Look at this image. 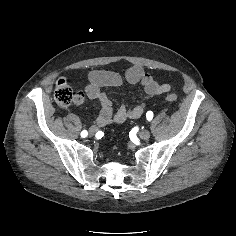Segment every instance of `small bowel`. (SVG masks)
Returning <instances> with one entry per match:
<instances>
[{
	"instance_id": "1",
	"label": "small bowel",
	"mask_w": 236,
	"mask_h": 236,
	"mask_svg": "<svg viewBox=\"0 0 236 236\" xmlns=\"http://www.w3.org/2000/svg\"><path fill=\"white\" fill-rule=\"evenodd\" d=\"M124 82L139 84L144 91L143 100L129 107L122 105L116 112L112 109V103L108 95L102 91L104 87H119ZM171 89L167 83L157 81L152 75L145 72L141 66L130 67L124 75L113 71L93 70L88 75V84L84 91H79L74 96V103L81 105L85 98L97 100L100 111L95 116V122L99 126L121 124L128 119L139 118L146 110L148 98L164 94Z\"/></svg>"
}]
</instances>
